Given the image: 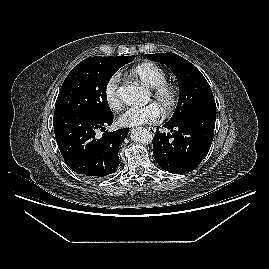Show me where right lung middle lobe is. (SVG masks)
I'll use <instances>...</instances> for the list:
<instances>
[{
  "mask_svg": "<svg viewBox=\"0 0 269 269\" xmlns=\"http://www.w3.org/2000/svg\"><path fill=\"white\" fill-rule=\"evenodd\" d=\"M135 56L90 57L76 65L64 80L55 112L83 111L108 116L106 89L113 74Z\"/></svg>",
  "mask_w": 269,
  "mask_h": 269,
  "instance_id": "dd1d6c3e",
  "label": "right lung middle lobe"
}]
</instances>
